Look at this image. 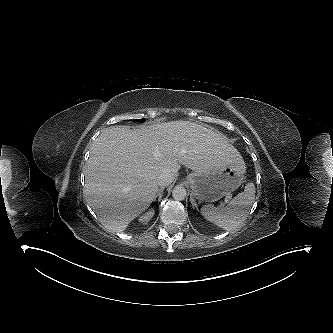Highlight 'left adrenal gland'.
<instances>
[{"instance_id": "a2214340", "label": "left adrenal gland", "mask_w": 333, "mask_h": 333, "mask_svg": "<svg viewBox=\"0 0 333 333\" xmlns=\"http://www.w3.org/2000/svg\"><path fill=\"white\" fill-rule=\"evenodd\" d=\"M190 201H191L193 209H195V208L198 209L195 199L192 196L190 197Z\"/></svg>"}]
</instances>
